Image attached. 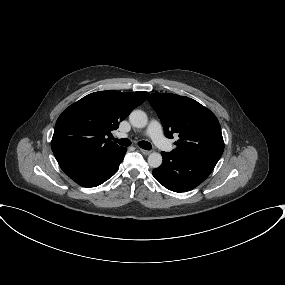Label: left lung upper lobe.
I'll return each mask as SVG.
<instances>
[{
	"label": "left lung upper lobe",
	"mask_w": 285,
	"mask_h": 285,
	"mask_svg": "<svg viewBox=\"0 0 285 285\" xmlns=\"http://www.w3.org/2000/svg\"><path fill=\"white\" fill-rule=\"evenodd\" d=\"M164 127L165 136H179L177 156L196 160L215 167L224 142L216 116L197 101L175 94L153 93L148 96Z\"/></svg>",
	"instance_id": "5c2ea615"
}]
</instances>
